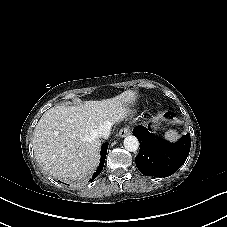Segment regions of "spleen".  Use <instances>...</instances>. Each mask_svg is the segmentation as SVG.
<instances>
[{"instance_id":"spleen-1","label":"spleen","mask_w":227,"mask_h":227,"mask_svg":"<svg viewBox=\"0 0 227 227\" xmlns=\"http://www.w3.org/2000/svg\"><path fill=\"white\" fill-rule=\"evenodd\" d=\"M165 138L171 142L176 141L179 139V134L176 132V130L169 129L165 132Z\"/></svg>"}]
</instances>
